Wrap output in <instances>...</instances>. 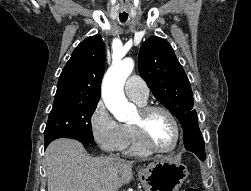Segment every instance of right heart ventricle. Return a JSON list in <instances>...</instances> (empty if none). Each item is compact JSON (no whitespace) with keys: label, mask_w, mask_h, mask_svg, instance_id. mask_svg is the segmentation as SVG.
Wrapping results in <instances>:
<instances>
[{"label":"right heart ventricle","mask_w":251,"mask_h":191,"mask_svg":"<svg viewBox=\"0 0 251 191\" xmlns=\"http://www.w3.org/2000/svg\"><path fill=\"white\" fill-rule=\"evenodd\" d=\"M144 104L145 102H139ZM125 139L120 150L131 156L147 157L151 152L138 140L137 134L131 125H124Z\"/></svg>","instance_id":"1"}]
</instances>
